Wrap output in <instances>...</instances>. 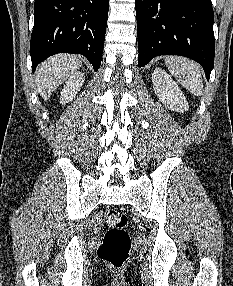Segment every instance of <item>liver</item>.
I'll use <instances>...</instances> for the list:
<instances>
[{"mask_svg":"<svg viewBox=\"0 0 233 286\" xmlns=\"http://www.w3.org/2000/svg\"><path fill=\"white\" fill-rule=\"evenodd\" d=\"M81 65V58L70 54L55 55L41 63L35 72V82L43 99L48 100L57 87Z\"/></svg>","mask_w":233,"mask_h":286,"instance_id":"6515ba94","label":"liver"}]
</instances>
